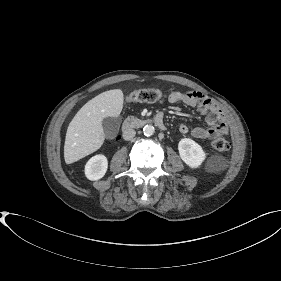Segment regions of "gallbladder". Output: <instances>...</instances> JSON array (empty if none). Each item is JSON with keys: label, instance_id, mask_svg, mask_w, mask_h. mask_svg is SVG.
Masks as SVG:
<instances>
[{"label": "gallbladder", "instance_id": "bac80fb5", "mask_svg": "<svg viewBox=\"0 0 281 281\" xmlns=\"http://www.w3.org/2000/svg\"><path fill=\"white\" fill-rule=\"evenodd\" d=\"M120 117H106L102 121V127L106 138H112L118 132L120 127Z\"/></svg>", "mask_w": 281, "mask_h": 281}]
</instances>
